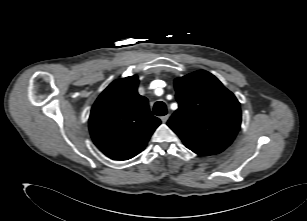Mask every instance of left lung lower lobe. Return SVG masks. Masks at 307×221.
I'll return each instance as SVG.
<instances>
[{
	"label": "left lung lower lobe",
	"mask_w": 307,
	"mask_h": 221,
	"mask_svg": "<svg viewBox=\"0 0 307 221\" xmlns=\"http://www.w3.org/2000/svg\"><path fill=\"white\" fill-rule=\"evenodd\" d=\"M195 153L200 154V155H203V156L212 155V154H208V153H205V152H195Z\"/></svg>",
	"instance_id": "left-lung-lower-lobe-1"
}]
</instances>
